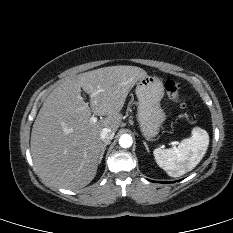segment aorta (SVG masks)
Listing matches in <instances>:
<instances>
[{
    "label": "aorta",
    "instance_id": "obj_1",
    "mask_svg": "<svg viewBox=\"0 0 233 233\" xmlns=\"http://www.w3.org/2000/svg\"><path fill=\"white\" fill-rule=\"evenodd\" d=\"M133 140L132 137L128 134H123L120 138H119V145L122 148H129L132 146Z\"/></svg>",
    "mask_w": 233,
    "mask_h": 233
}]
</instances>
